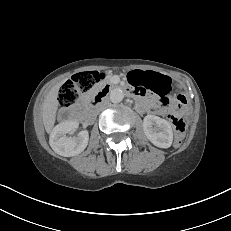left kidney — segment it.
Here are the masks:
<instances>
[{
  "mask_svg": "<svg viewBox=\"0 0 231 231\" xmlns=\"http://www.w3.org/2000/svg\"><path fill=\"white\" fill-rule=\"evenodd\" d=\"M143 131L146 137L159 148H169L173 141L171 125L165 119L147 115L143 120Z\"/></svg>",
  "mask_w": 231,
  "mask_h": 231,
  "instance_id": "5707ae66",
  "label": "left kidney"
}]
</instances>
